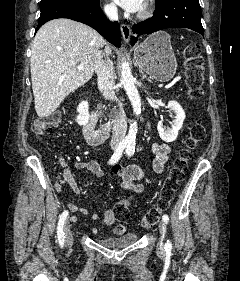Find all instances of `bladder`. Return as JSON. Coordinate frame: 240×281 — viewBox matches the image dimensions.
I'll use <instances>...</instances> for the list:
<instances>
[{
	"mask_svg": "<svg viewBox=\"0 0 240 281\" xmlns=\"http://www.w3.org/2000/svg\"><path fill=\"white\" fill-rule=\"evenodd\" d=\"M137 240V234L127 233L120 237L99 240V244L110 249H123L133 245Z\"/></svg>",
	"mask_w": 240,
	"mask_h": 281,
	"instance_id": "bladder-1",
	"label": "bladder"
}]
</instances>
